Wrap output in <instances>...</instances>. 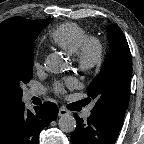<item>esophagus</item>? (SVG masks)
Instances as JSON below:
<instances>
[{"label": "esophagus", "mask_w": 144, "mask_h": 144, "mask_svg": "<svg viewBox=\"0 0 144 144\" xmlns=\"http://www.w3.org/2000/svg\"><path fill=\"white\" fill-rule=\"evenodd\" d=\"M70 114V112L67 110V109H65V108H59V113H58V115L59 116H66V115H69Z\"/></svg>", "instance_id": "1"}]
</instances>
